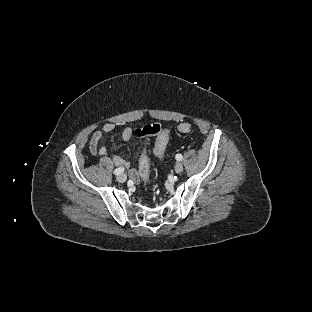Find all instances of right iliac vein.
I'll return each instance as SVG.
<instances>
[{
	"label": "right iliac vein",
	"instance_id": "right-iliac-vein-1",
	"mask_svg": "<svg viewBox=\"0 0 312 312\" xmlns=\"http://www.w3.org/2000/svg\"><path fill=\"white\" fill-rule=\"evenodd\" d=\"M126 179H127V176H126V174H123V173L120 174V175L117 177V180H118L120 183L125 182Z\"/></svg>",
	"mask_w": 312,
	"mask_h": 312
}]
</instances>
